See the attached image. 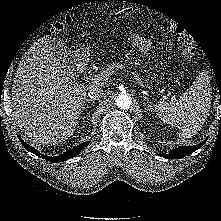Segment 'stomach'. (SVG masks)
<instances>
[{"label":"stomach","mask_w":221,"mask_h":221,"mask_svg":"<svg viewBox=\"0 0 221 221\" xmlns=\"http://www.w3.org/2000/svg\"><path fill=\"white\" fill-rule=\"evenodd\" d=\"M79 56L80 57H86L87 56V50L86 49H81L80 51H79Z\"/></svg>","instance_id":"1"}]
</instances>
